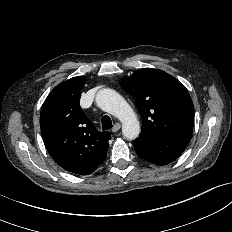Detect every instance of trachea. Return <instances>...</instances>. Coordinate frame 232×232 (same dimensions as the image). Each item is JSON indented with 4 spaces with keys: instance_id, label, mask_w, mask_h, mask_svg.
<instances>
[{
    "instance_id": "trachea-1",
    "label": "trachea",
    "mask_w": 232,
    "mask_h": 232,
    "mask_svg": "<svg viewBox=\"0 0 232 232\" xmlns=\"http://www.w3.org/2000/svg\"><path fill=\"white\" fill-rule=\"evenodd\" d=\"M102 130H109L113 127L112 121L108 115L102 117Z\"/></svg>"
}]
</instances>
